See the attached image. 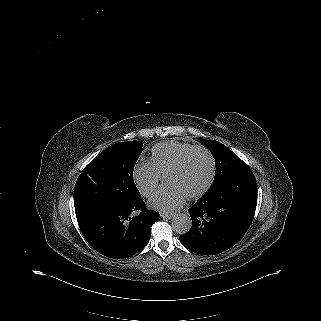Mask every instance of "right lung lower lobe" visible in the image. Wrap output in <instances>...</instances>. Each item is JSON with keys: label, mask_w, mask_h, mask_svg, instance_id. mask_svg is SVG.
Returning a JSON list of instances; mask_svg holds the SVG:
<instances>
[{"label": "right lung lower lobe", "mask_w": 321, "mask_h": 321, "mask_svg": "<svg viewBox=\"0 0 321 321\" xmlns=\"http://www.w3.org/2000/svg\"><path fill=\"white\" fill-rule=\"evenodd\" d=\"M136 212H140L135 216ZM77 221L88 243L113 259L130 257L149 242L151 227L159 213L145 210L140 198L132 204H107L76 211Z\"/></svg>", "instance_id": "1"}]
</instances>
